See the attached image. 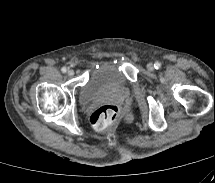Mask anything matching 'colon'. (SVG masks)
<instances>
[{
  "label": "colon",
  "mask_w": 215,
  "mask_h": 183,
  "mask_svg": "<svg viewBox=\"0 0 215 183\" xmlns=\"http://www.w3.org/2000/svg\"><path fill=\"white\" fill-rule=\"evenodd\" d=\"M119 117V108L115 104H107L96 111L91 115V124L92 126L100 131L104 130L111 124H113Z\"/></svg>",
  "instance_id": "obj_1"
}]
</instances>
